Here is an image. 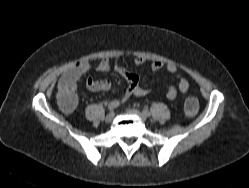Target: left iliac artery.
<instances>
[{"label": "left iliac artery", "mask_w": 249, "mask_h": 188, "mask_svg": "<svg viewBox=\"0 0 249 188\" xmlns=\"http://www.w3.org/2000/svg\"><path fill=\"white\" fill-rule=\"evenodd\" d=\"M143 114L146 115V116H150V112H149L148 109H144Z\"/></svg>", "instance_id": "1"}]
</instances>
